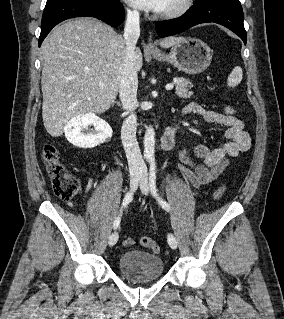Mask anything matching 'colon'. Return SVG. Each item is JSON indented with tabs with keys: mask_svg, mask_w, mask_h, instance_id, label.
I'll list each match as a JSON object with an SVG mask.
<instances>
[{
	"mask_svg": "<svg viewBox=\"0 0 284 319\" xmlns=\"http://www.w3.org/2000/svg\"><path fill=\"white\" fill-rule=\"evenodd\" d=\"M225 113L227 116H233L236 110L233 106H226ZM42 160L51 179L54 193L62 200H70L77 196L81 190L80 179L67 171L66 167L60 161L57 148L52 144H45L42 148ZM225 191V185L217 187L213 194L214 200H219ZM134 240L127 238L123 241L124 246L133 245ZM140 244L143 247L151 249L154 253L160 252V246L152 238L142 236Z\"/></svg>",
	"mask_w": 284,
	"mask_h": 319,
	"instance_id": "colon-1",
	"label": "colon"
}]
</instances>
